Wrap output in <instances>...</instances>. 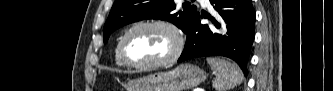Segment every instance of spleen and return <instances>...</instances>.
I'll return each instance as SVG.
<instances>
[{
    "label": "spleen",
    "mask_w": 333,
    "mask_h": 91,
    "mask_svg": "<svg viewBox=\"0 0 333 91\" xmlns=\"http://www.w3.org/2000/svg\"><path fill=\"white\" fill-rule=\"evenodd\" d=\"M206 60L216 74L213 81L216 91H228L243 81V73L237 64L219 58H207Z\"/></svg>",
    "instance_id": "spleen-1"
}]
</instances>
